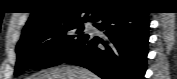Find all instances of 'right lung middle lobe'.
I'll list each match as a JSON object with an SVG mask.
<instances>
[{"label": "right lung middle lobe", "mask_w": 177, "mask_h": 79, "mask_svg": "<svg viewBox=\"0 0 177 79\" xmlns=\"http://www.w3.org/2000/svg\"><path fill=\"white\" fill-rule=\"evenodd\" d=\"M84 22L88 20L42 28L22 37L16 47L15 76L30 68L61 64L88 37L83 32Z\"/></svg>", "instance_id": "1"}]
</instances>
